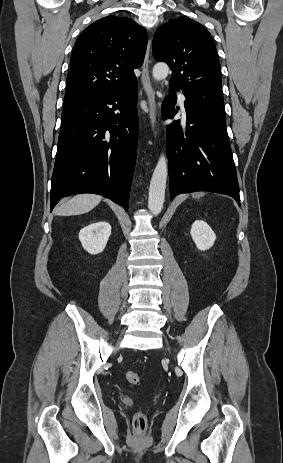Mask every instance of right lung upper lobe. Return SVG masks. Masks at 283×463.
Returning <instances> with one entry per match:
<instances>
[{
    "mask_svg": "<svg viewBox=\"0 0 283 463\" xmlns=\"http://www.w3.org/2000/svg\"><path fill=\"white\" fill-rule=\"evenodd\" d=\"M147 32L132 19L107 16L88 26L75 42L67 76L64 110L137 82Z\"/></svg>",
    "mask_w": 283,
    "mask_h": 463,
    "instance_id": "obj_1",
    "label": "right lung upper lobe"
}]
</instances>
